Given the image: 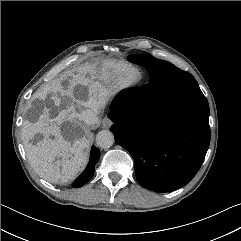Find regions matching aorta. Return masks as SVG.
I'll return each mask as SVG.
<instances>
[{
    "instance_id": "obj_1",
    "label": "aorta",
    "mask_w": 241,
    "mask_h": 241,
    "mask_svg": "<svg viewBox=\"0 0 241 241\" xmlns=\"http://www.w3.org/2000/svg\"><path fill=\"white\" fill-rule=\"evenodd\" d=\"M96 143L100 148H109L114 143V135L109 130H101L96 135Z\"/></svg>"
}]
</instances>
